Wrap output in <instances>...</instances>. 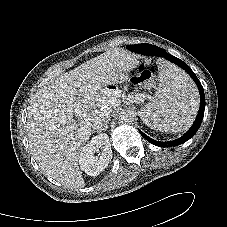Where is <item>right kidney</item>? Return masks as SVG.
<instances>
[{
    "label": "right kidney",
    "mask_w": 227,
    "mask_h": 227,
    "mask_svg": "<svg viewBox=\"0 0 227 227\" xmlns=\"http://www.w3.org/2000/svg\"><path fill=\"white\" fill-rule=\"evenodd\" d=\"M101 150V152H99ZM95 155V153H98ZM112 159L111 144L107 134L95 136L81 151L79 164L87 175H99Z\"/></svg>",
    "instance_id": "1"
}]
</instances>
